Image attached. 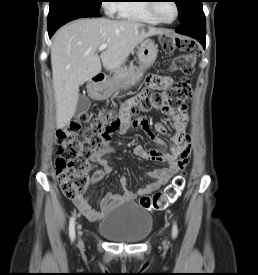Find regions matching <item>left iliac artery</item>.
Instances as JSON below:
<instances>
[{"label": "left iliac artery", "instance_id": "left-iliac-artery-1", "mask_svg": "<svg viewBox=\"0 0 258 275\" xmlns=\"http://www.w3.org/2000/svg\"><path fill=\"white\" fill-rule=\"evenodd\" d=\"M177 232H178V229H177V225L176 223L174 222L173 223V229H172V237L175 238L177 236Z\"/></svg>", "mask_w": 258, "mask_h": 275}]
</instances>
